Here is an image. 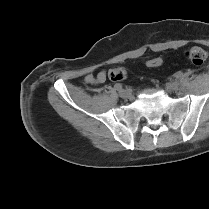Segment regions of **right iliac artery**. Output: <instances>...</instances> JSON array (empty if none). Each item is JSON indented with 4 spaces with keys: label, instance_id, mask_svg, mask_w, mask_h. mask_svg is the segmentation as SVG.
Listing matches in <instances>:
<instances>
[{
    "label": "right iliac artery",
    "instance_id": "obj_1",
    "mask_svg": "<svg viewBox=\"0 0 209 209\" xmlns=\"http://www.w3.org/2000/svg\"><path fill=\"white\" fill-rule=\"evenodd\" d=\"M114 88H115V90L120 91V90H122V85L118 83L114 86Z\"/></svg>",
    "mask_w": 209,
    "mask_h": 209
}]
</instances>
